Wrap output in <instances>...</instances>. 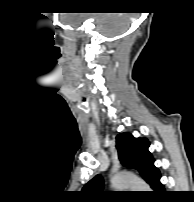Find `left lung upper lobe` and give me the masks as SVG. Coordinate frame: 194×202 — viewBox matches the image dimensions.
Returning a JSON list of instances; mask_svg holds the SVG:
<instances>
[{
  "instance_id": "5c2ea615",
  "label": "left lung upper lobe",
  "mask_w": 194,
  "mask_h": 202,
  "mask_svg": "<svg viewBox=\"0 0 194 202\" xmlns=\"http://www.w3.org/2000/svg\"><path fill=\"white\" fill-rule=\"evenodd\" d=\"M116 148L121 163L127 167L135 168L149 184L160 174L154 166V160L148 151L150 143L147 139L134 138L129 133L116 137ZM104 182L101 175H96L83 188V192L90 195L102 193Z\"/></svg>"
}]
</instances>
